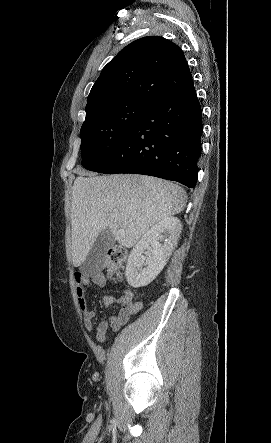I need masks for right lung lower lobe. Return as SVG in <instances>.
Returning a JSON list of instances; mask_svg holds the SVG:
<instances>
[{"instance_id":"1","label":"right lung lower lobe","mask_w":271,"mask_h":443,"mask_svg":"<svg viewBox=\"0 0 271 443\" xmlns=\"http://www.w3.org/2000/svg\"><path fill=\"white\" fill-rule=\"evenodd\" d=\"M202 130L193 84L151 102L113 155L94 171L151 175L194 188Z\"/></svg>"}]
</instances>
